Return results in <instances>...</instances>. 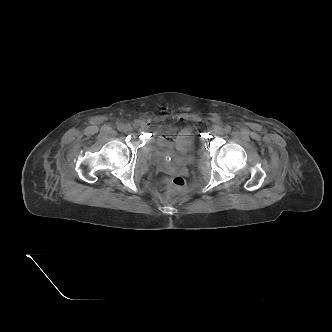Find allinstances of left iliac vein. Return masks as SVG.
<instances>
[{
	"mask_svg": "<svg viewBox=\"0 0 332 332\" xmlns=\"http://www.w3.org/2000/svg\"><path fill=\"white\" fill-rule=\"evenodd\" d=\"M224 132H225V130L221 126H218L215 129V133L218 134V135H222V134H224Z\"/></svg>",
	"mask_w": 332,
	"mask_h": 332,
	"instance_id": "4c4485c4",
	"label": "left iliac vein"
}]
</instances>
